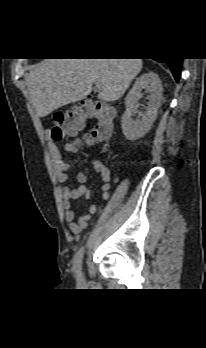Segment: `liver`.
<instances>
[{"instance_id":"liver-1","label":"liver","mask_w":206,"mask_h":348,"mask_svg":"<svg viewBox=\"0 0 206 348\" xmlns=\"http://www.w3.org/2000/svg\"><path fill=\"white\" fill-rule=\"evenodd\" d=\"M142 69V59H44L34 65L26 82L38 115L86 98L95 82L98 99L113 102L123 96Z\"/></svg>"}]
</instances>
